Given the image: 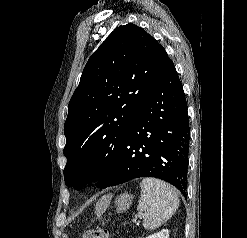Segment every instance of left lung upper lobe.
<instances>
[{
    "instance_id": "left-lung-upper-lobe-1",
    "label": "left lung upper lobe",
    "mask_w": 247,
    "mask_h": 238,
    "mask_svg": "<svg viewBox=\"0 0 247 238\" xmlns=\"http://www.w3.org/2000/svg\"><path fill=\"white\" fill-rule=\"evenodd\" d=\"M168 55L142 28L117 27L89 58L68 105L64 179L80 189L111 179L122 145Z\"/></svg>"
}]
</instances>
